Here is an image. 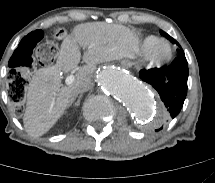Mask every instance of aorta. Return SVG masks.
<instances>
[{"label":"aorta","instance_id":"obj_1","mask_svg":"<svg viewBox=\"0 0 215 183\" xmlns=\"http://www.w3.org/2000/svg\"><path fill=\"white\" fill-rule=\"evenodd\" d=\"M98 87L108 96L123 103L138 120L156 123L163 111L149 90L135 77L117 67L101 68L96 75Z\"/></svg>","mask_w":215,"mask_h":183}]
</instances>
